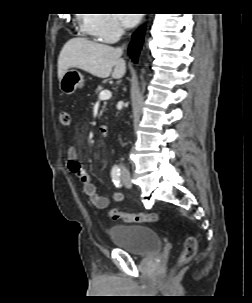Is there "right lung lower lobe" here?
I'll list each match as a JSON object with an SVG mask.
<instances>
[{"mask_svg":"<svg viewBox=\"0 0 252 303\" xmlns=\"http://www.w3.org/2000/svg\"><path fill=\"white\" fill-rule=\"evenodd\" d=\"M144 31V27L139 28L138 31L133 34L132 41L129 44L128 53L135 63L138 61V54L142 47Z\"/></svg>","mask_w":252,"mask_h":303,"instance_id":"obj_1","label":"right lung lower lobe"}]
</instances>
